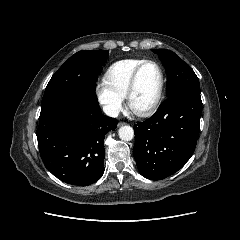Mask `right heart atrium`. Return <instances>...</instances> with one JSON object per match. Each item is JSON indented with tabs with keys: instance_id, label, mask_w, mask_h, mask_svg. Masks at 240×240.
<instances>
[{
	"instance_id": "1",
	"label": "right heart atrium",
	"mask_w": 240,
	"mask_h": 240,
	"mask_svg": "<svg viewBox=\"0 0 240 240\" xmlns=\"http://www.w3.org/2000/svg\"><path fill=\"white\" fill-rule=\"evenodd\" d=\"M95 92L104 112L111 117L117 116L122 110L123 98L113 92L105 82L98 84Z\"/></svg>"
}]
</instances>
